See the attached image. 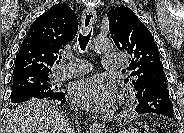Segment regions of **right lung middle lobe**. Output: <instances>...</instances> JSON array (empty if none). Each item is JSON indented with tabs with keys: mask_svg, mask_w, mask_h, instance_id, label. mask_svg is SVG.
Returning a JSON list of instances; mask_svg holds the SVG:
<instances>
[{
	"mask_svg": "<svg viewBox=\"0 0 184 133\" xmlns=\"http://www.w3.org/2000/svg\"><path fill=\"white\" fill-rule=\"evenodd\" d=\"M48 76L28 73L14 75L11 101L21 96H50L58 92L49 84Z\"/></svg>",
	"mask_w": 184,
	"mask_h": 133,
	"instance_id": "right-lung-middle-lobe-1",
	"label": "right lung middle lobe"
}]
</instances>
